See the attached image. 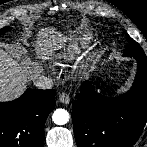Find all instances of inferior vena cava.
<instances>
[{
	"instance_id": "inferior-vena-cava-1",
	"label": "inferior vena cava",
	"mask_w": 147,
	"mask_h": 147,
	"mask_svg": "<svg viewBox=\"0 0 147 147\" xmlns=\"http://www.w3.org/2000/svg\"><path fill=\"white\" fill-rule=\"evenodd\" d=\"M36 87L39 89H51L53 87V81L51 78L47 76H40L36 82H35Z\"/></svg>"
}]
</instances>
